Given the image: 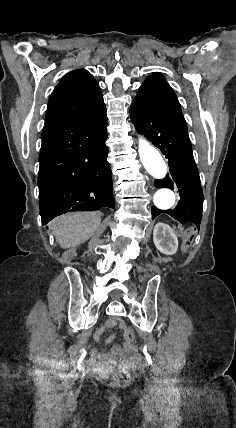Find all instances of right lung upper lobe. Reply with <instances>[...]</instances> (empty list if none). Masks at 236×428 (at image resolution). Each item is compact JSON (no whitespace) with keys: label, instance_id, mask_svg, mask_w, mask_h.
Listing matches in <instances>:
<instances>
[{"label":"right lung upper lobe","instance_id":"obj_1","mask_svg":"<svg viewBox=\"0 0 236 428\" xmlns=\"http://www.w3.org/2000/svg\"><path fill=\"white\" fill-rule=\"evenodd\" d=\"M104 110L98 83L91 73L77 69L66 74L52 92L43 129L85 120Z\"/></svg>","mask_w":236,"mask_h":428}]
</instances>
